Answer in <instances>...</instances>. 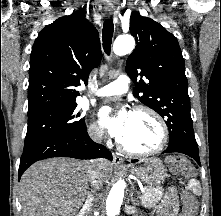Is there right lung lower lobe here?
Returning <instances> with one entry per match:
<instances>
[{"label": "right lung lower lobe", "mask_w": 221, "mask_h": 216, "mask_svg": "<svg viewBox=\"0 0 221 216\" xmlns=\"http://www.w3.org/2000/svg\"><path fill=\"white\" fill-rule=\"evenodd\" d=\"M51 157L112 160V154L105 146L90 139L84 124L76 131L52 138L34 148L23 151L18 171L19 179L30 165L38 160Z\"/></svg>", "instance_id": "obj_1"}]
</instances>
